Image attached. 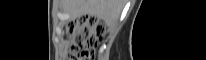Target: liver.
Returning a JSON list of instances; mask_svg holds the SVG:
<instances>
[{
	"instance_id": "obj_1",
	"label": "liver",
	"mask_w": 206,
	"mask_h": 60,
	"mask_svg": "<svg viewBox=\"0 0 206 60\" xmlns=\"http://www.w3.org/2000/svg\"><path fill=\"white\" fill-rule=\"evenodd\" d=\"M64 8L72 19L94 16L111 26L120 16L123 0H63Z\"/></svg>"
}]
</instances>
